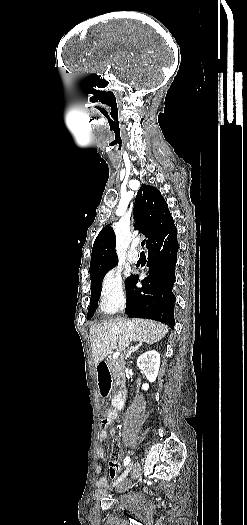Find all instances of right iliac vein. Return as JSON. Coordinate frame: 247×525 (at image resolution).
<instances>
[{
	"mask_svg": "<svg viewBox=\"0 0 247 525\" xmlns=\"http://www.w3.org/2000/svg\"><path fill=\"white\" fill-rule=\"evenodd\" d=\"M132 466H133V462H131L128 467L125 469V471L122 473V475L120 476V478L113 484V486H116L118 485V483L120 481H122L127 475L128 473L130 472V470L132 469Z\"/></svg>",
	"mask_w": 247,
	"mask_h": 525,
	"instance_id": "1",
	"label": "right iliac vein"
}]
</instances>
